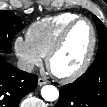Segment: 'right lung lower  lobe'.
Returning a JSON list of instances; mask_svg holds the SVG:
<instances>
[{"label": "right lung lower lobe", "mask_w": 107, "mask_h": 107, "mask_svg": "<svg viewBox=\"0 0 107 107\" xmlns=\"http://www.w3.org/2000/svg\"><path fill=\"white\" fill-rule=\"evenodd\" d=\"M38 77L17 69L0 56V107H18L22 97L35 90Z\"/></svg>", "instance_id": "right-lung-lower-lobe-1"}]
</instances>
